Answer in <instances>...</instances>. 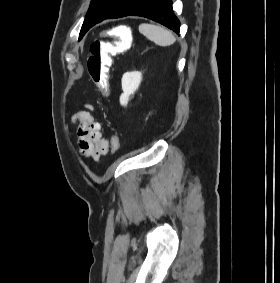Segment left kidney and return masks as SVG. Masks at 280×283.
<instances>
[{
  "mask_svg": "<svg viewBox=\"0 0 280 283\" xmlns=\"http://www.w3.org/2000/svg\"><path fill=\"white\" fill-rule=\"evenodd\" d=\"M141 80L142 74L138 71L124 73L121 81L123 93L120 96V104L122 106H127L129 96L134 94L139 88Z\"/></svg>",
  "mask_w": 280,
  "mask_h": 283,
  "instance_id": "obj_1",
  "label": "left kidney"
}]
</instances>
